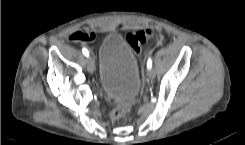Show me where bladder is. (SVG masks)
I'll use <instances>...</instances> for the list:
<instances>
[{"label": "bladder", "mask_w": 245, "mask_h": 145, "mask_svg": "<svg viewBox=\"0 0 245 145\" xmlns=\"http://www.w3.org/2000/svg\"><path fill=\"white\" fill-rule=\"evenodd\" d=\"M99 81L112 98H133L140 88V71L135 52L119 33L106 37L99 49Z\"/></svg>", "instance_id": "obj_1"}]
</instances>
